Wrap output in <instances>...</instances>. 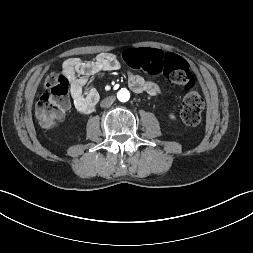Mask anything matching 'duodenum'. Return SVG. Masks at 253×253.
<instances>
[{"instance_id": "obj_1", "label": "duodenum", "mask_w": 253, "mask_h": 253, "mask_svg": "<svg viewBox=\"0 0 253 253\" xmlns=\"http://www.w3.org/2000/svg\"><path fill=\"white\" fill-rule=\"evenodd\" d=\"M91 110H92V108L88 109V111H87V112H90Z\"/></svg>"}]
</instances>
